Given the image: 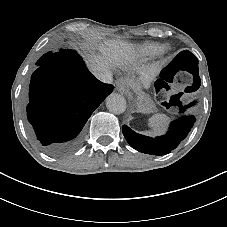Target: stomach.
Instances as JSON below:
<instances>
[{
  "label": "stomach",
  "mask_w": 227,
  "mask_h": 227,
  "mask_svg": "<svg viewBox=\"0 0 227 227\" xmlns=\"http://www.w3.org/2000/svg\"><path fill=\"white\" fill-rule=\"evenodd\" d=\"M121 92L127 93L128 90H122ZM138 99L141 112H151L154 109V106L148 101V95L144 91H139Z\"/></svg>",
  "instance_id": "stomach-1"
}]
</instances>
